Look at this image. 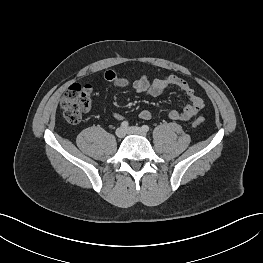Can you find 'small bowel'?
<instances>
[{
	"label": "small bowel",
	"instance_id": "1",
	"mask_svg": "<svg viewBox=\"0 0 263 263\" xmlns=\"http://www.w3.org/2000/svg\"><path fill=\"white\" fill-rule=\"evenodd\" d=\"M104 78L113 87L125 88L131 84L135 92L150 96L161 95L168 86L178 87L188 97V103L181 111L171 110L168 113V118L173 121H188L195 117L203 108L202 99L195 94L194 89L189 83L175 75H166L153 81L143 76L131 83L129 79L118 76L114 71L108 70L104 73ZM112 117L118 121L124 119L123 115L119 112H112ZM139 118L150 120L152 113L146 109L141 110Z\"/></svg>",
	"mask_w": 263,
	"mask_h": 263
}]
</instances>
